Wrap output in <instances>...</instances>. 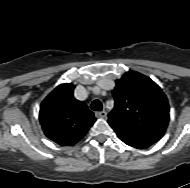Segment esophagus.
Listing matches in <instances>:
<instances>
[{
    "label": "esophagus",
    "instance_id": "obj_1",
    "mask_svg": "<svg viewBox=\"0 0 190 188\" xmlns=\"http://www.w3.org/2000/svg\"><path fill=\"white\" fill-rule=\"evenodd\" d=\"M95 117L96 118H106L107 113H106V111H98V112H95Z\"/></svg>",
    "mask_w": 190,
    "mask_h": 188
}]
</instances>
